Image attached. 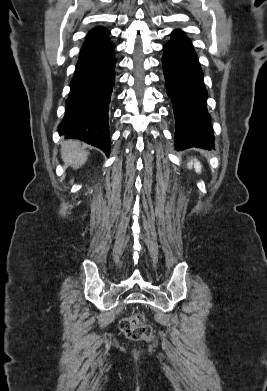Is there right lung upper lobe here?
Returning <instances> with one entry per match:
<instances>
[{
    "label": "right lung upper lobe",
    "instance_id": "cb5924a9",
    "mask_svg": "<svg viewBox=\"0 0 267 391\" xmlns=\"http://www.w3.org/2000/svg\"><path fill=\"white\" fill-rule=\"evenodd\" d=\"M109 34L110 32L104 27L92 29L86 37L85 43L80 51V56L111 43L108 39Z\"/></svg>",
    "mask_w": 267,
    "mask_h": 391
}]
</instances>
